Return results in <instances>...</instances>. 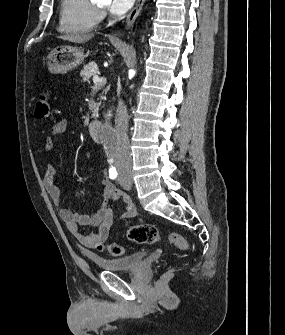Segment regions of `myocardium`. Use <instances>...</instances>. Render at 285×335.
<instances>
[{
  "instance_id": "1",
  "label": "myocardium",
  "mask_w": 285,
  "mask_h": 335,
  "mask_svg": "<svg viewBox=\"0 0 285 335\" xmlns=\"http://www.w3.org/2000/svg\"><path fill=\"white\" fill-rule=\"evenodd\" d=\"M100 6L103 8L104 5L102 3H100Z\"/></svg>"
}]
</instances>
